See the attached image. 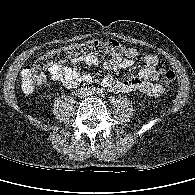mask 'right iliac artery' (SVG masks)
Returning a JSON list of instances; mask_svg holds the SVG:
<instances>
[{
  "instance_id": "82829eb1",
  "label": "right iliac artery",
  "mask_w": 195,
  "mask_h": 195,
  "mask_svg": "<svg viewBox=\"0 0 195 195\" xmlns=\"http://www.w3.org/2000/svg\"><path fill=\"white\" fill-rule=\"evenodd\" d=\"M97 89L95 87H92L91 92L95 93Z\"/></svg>"
}]
</instances>
